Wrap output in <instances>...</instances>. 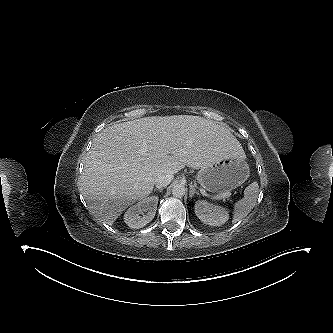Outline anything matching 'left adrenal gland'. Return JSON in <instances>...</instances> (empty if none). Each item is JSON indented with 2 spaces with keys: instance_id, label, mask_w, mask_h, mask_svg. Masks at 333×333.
Masks as SVG:
<instances>
[{
  "instance_id": "left-adrenal-gland-1",
  "label": "left adrenal gland",
  "mask_w": 333,
  "mask_h": 333,
  "mask_svg": "<svg viewBox=\"0 0 333 333\" xmlns=\"http://www.w3.org/2000/svg\"><path fill=\"white\" fill-rule=\"evenodd\" d=\"M194 194L200 195L199 192L194 188L193 185L190 186L189 197L192 198Z\"/></svg>"
}]
</instances>
